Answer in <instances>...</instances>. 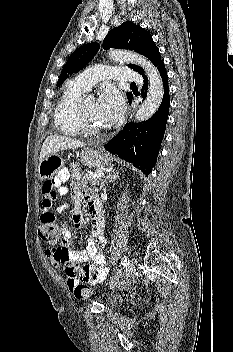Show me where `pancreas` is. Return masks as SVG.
Segmentation results:
<instances>
[{
	"label": "pancreas",
	"mask_w": 233,
	"mask_h": 352,
	"mask_svg": "<svg viewBox=\"0 0 233 352\" xmlns=\"http://www.w3.org/2000/svg\"><path fill=\"white\" fill-rule=\"evenodd\" d=\"M70 171L71 177L75 180H79L81 182H89L92 185H98L101 181V178H94L87 173L83 172L81 169L78 168L77 163L70 164Z\"/></svg>",
	"instance_id": "cf45deb5"
}]
</instances>
